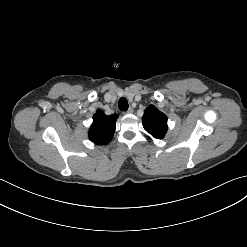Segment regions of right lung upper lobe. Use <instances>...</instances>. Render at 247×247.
<instances>
[{
    "instance_id": "1",
    "label": "right lung upper lobe",
    "mask_w": 247,
    "mask_h": 247,
    "mask_svg": "<svg viewBox=\"0 0 247 247\" xmlns=\"http://www.w3.org/2000/svg\"><path fill=\"white\" fill-rule=\"evenodd\" d=\"M117 114L107 116L98 110L93 116V123L89 129V139L97 145L108 144L115 132Z\"/></svg>"
}]
</instances>
